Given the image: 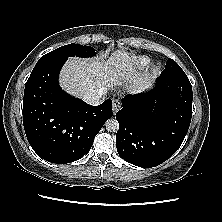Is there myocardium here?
Returning <instances> with one entry per match:
<instances>
[{"label":"myocardium","mask_w":222,"mask_h":222,"mask_svg":"<svg viewBox=\"0 0 222 222\" xmlns=\"http://www.w3.org/2000/svg\"><path fill=\"white\" fill-rule=\"evenodd\" d=\"M154 70L156 71V70H157V67H154Z\"/></svg>","instance_id":"obj_1"}]
</instances>
